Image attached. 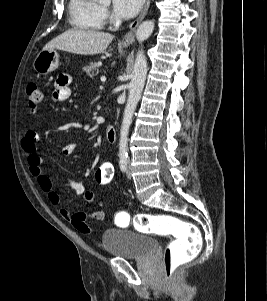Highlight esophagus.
Here are the masks:
<instances>
[{"label": "esophagus", "instance_id": "34e87169", "mask_svg": "<svg viewBox=\"0 0 267 301\" xmlns=\"http://www.w3.org/2000/svg\"><path fill=\"white\" fill-rule=\"evenodd\" d=\"M150 1L151 0H146L145 5L141 11V14L139 15V17L133 21L130 25V30L128 31V33L125 34V36L123 37L121 44L125 47L131 45L134 41H135V30L137 28V26L140 24V22L145 18L147 12H148V8L150 6Z\"/></svg>", "mask_w": 267, "mask_h": 301}]
</instances>
